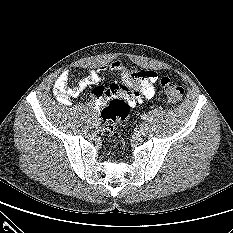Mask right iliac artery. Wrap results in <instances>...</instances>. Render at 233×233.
I'll return each instance as SVG.
<instances>
[{"instance_id": "1", "label": "right iliac artery", "mask_w": 233, "mask_h": 233, "mask_svg": "<svg viewBox=\"0 0 233 233\" xmlns=\"http://www.w3.org/2000/svg\"><path fill=\"white\" fill-rule=\"evenodd\" d=\"M96 115H97V113H96L95 110H91V111H90V116H91L92 118L97 117Z\"/></svg>"}]
</instances>
